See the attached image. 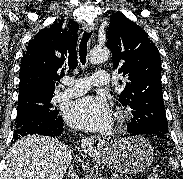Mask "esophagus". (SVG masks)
<instances>
[{
  "label": "esophagus",
  "mask_w": 183,
  "mask_h": 179,
  "mask_svg": "<svg viewBox=\"0 0 183 179\" xmlns=\"http://www.w3.org/2000/svg\"><path fill=\"white\" fill-rule=\"evenodd\" d=\"M83 31L92 34L94 32V27L91 24H87L83 27ZM111 143L112 139L104 136H90L81 140V146L84 151L92 155L101 153Z\"/></svg>",
  "instance_id": "34e87169"
}]
</instances>
